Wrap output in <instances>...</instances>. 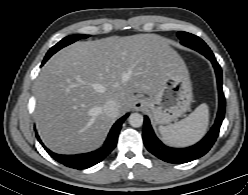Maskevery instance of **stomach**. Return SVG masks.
<instances>
[{"label": "stomach", "instance_id": "obj_1", "mask_svg": "<svg viewBox=\"0 0 248 195\" xmlns=\"http://www.w3.org/2000/svg\"><path fill=\"white\" fill-rule=\"evenodd\" d=\"M144 100L156 124H169L187 112L193 102V93L185 64L175 66L159 91Z\"/></svg>", "mask_w": 248, "mask_h": 195}]
</instances>
